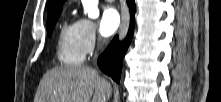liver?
I'll list each match as a JSON object with an SVG mask.
<instances>
[{
    "mask_svg": "<svg viewBox=\"0 0 221 102\" xmlns=\"http://www.w3.org/2000/svg\"><path fill=\"white\" fill-rule=\"evenodd\" d=\"M110 82L87 66H64L47 71L34 102H108Z\"/></svg>",
    "mask_w": 221,
    "mask_h": 102,
    "instance_id": "obj_1",
    "label": "liver"
}]
</instances>
